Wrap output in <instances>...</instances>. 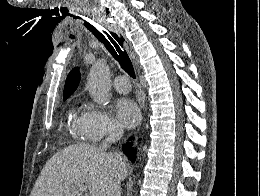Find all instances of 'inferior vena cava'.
I'll use <instances>...</instances> for the list:
<instances>
[{"label":"inferior vena cava","mask_w":260,"mask_h":196,"mask_svg":"<svg viewBox=\"0 0 260 196\" xmlns=\"http://www.w3.org/2000/svg\"><path fill=\"white\" fill-rule=\"evenodd\" d=\"M123 132L121 130H111L110 134H108L107 138H105L103 144L99 146V150L101 152H106L107 148H109L110 144H113V142H117V140H120ZM111 196H121V186H116L115 190H113Z\"/></svg>","instance_id":"602c4592"}]
</instances>
